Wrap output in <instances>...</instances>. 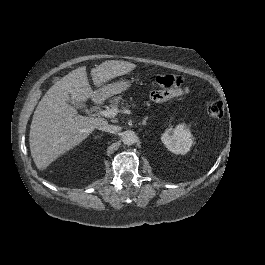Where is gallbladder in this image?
I'll list each match as a JSON object with an SVG mask.
<instances>
[{"label": "gallbladder", "mask_w": 265, "mask_h": 265, "mask_svg": "<svg viewBox=\"0 0 265 265\" xmlns=\"http://www.w3.org/2000/svg\"><path fill=\"white\" fill-rule=\"evenodd\" d=\"M60 79L61 78L58 76L51 77V82L54 84ZM65 102H67L68 104L74 107H77L79 110H86L87 108V104L85 101H80L78 99L73 98L70 93H68L67 96L65 97Z\"/></svg>", "instance_id": "bac80fb5"}]
</instances>
